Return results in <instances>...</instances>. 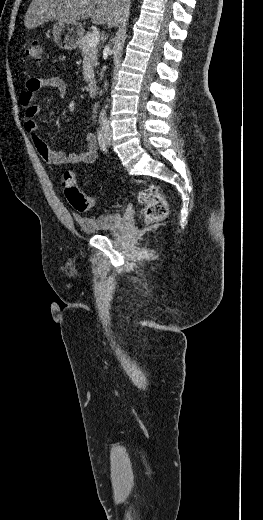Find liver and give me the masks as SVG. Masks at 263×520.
I'll use <instances>...</instances> for the list:
<instances>
[{
    "label": "liver",
    "mask_w": 263,
    "mask_h": 520,
    "mask_svg": "<svg viewBox=\"0 0 263 520\" xmlns=\"http://www.w3.org/2000/svg\"><path fill=\"white\" fill-rule=\"evenodd\" d=\"M129 0H32L24 19L27 29L51 20L78 22L91 18L94 24L117 25L128 9Z\"/></svg>",
    "instance_id": "liver-1"
}]
</instances>
